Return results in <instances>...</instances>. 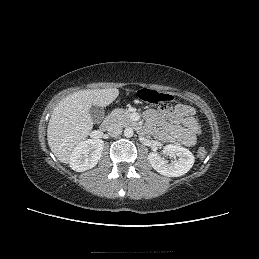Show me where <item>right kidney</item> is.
I'll return each mask as SVG.
<instances>
[{
  "label": "right kidney",
  "instance_id": "1",
  "mask_svg": "<svg viewBox=\"0 0 259 259\" xmlns=\"http://www.w3.org/2000/svg\"><path fill=\"white\" fill-rule=\"evenodd\" d=\"M104 141L101 139H88L81 141L72 151L70 167L76 172H83L95 167L101 158Z\"/></svg>",
  "mask_w": 259,
  "mask_h": 259
}]
</instances>
